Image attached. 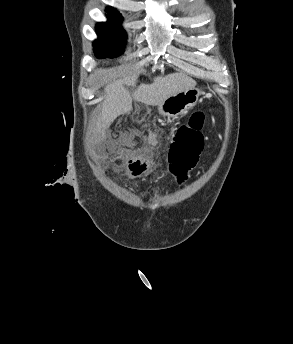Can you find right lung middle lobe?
<instances>
[{
	"label": "right lung middle lobe",
	"mask_w": 293,
	"mask_h": 344,
	"mask_svg": "<svg viewBox=\"0 0 293 344\" xmlns=\"http://www.w3.org/2000/svg\"><path fill=\"white\" fill-rule=\"evenodd\" d=\"M108 21L98 23L96 32L99 37L94 41L93 47L97 58H114L121 55L126 43V32L120 26L123 17L118 11L107 10Z\"/></svg>",
	"instance_id": "dd1d6c3e"
}]
</instances>
